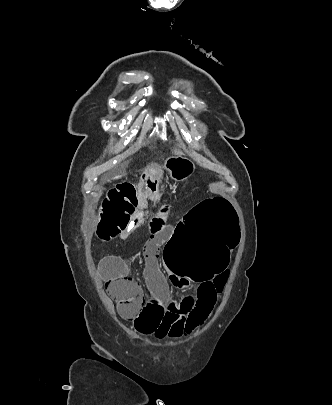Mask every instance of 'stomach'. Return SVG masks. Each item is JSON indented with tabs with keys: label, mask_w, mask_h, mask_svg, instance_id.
Instances as JSON below:
<instances>
[{
	"label": "stomach",
	"mask_w": 332,
	"mask_h": 405,
	"mask_svg": "<svg viewBox=\"0 0 332 405\" xmlns=\"http://www.w3.org/2000/svg\"><path fill=\"white\" fill-rule=\"evenodd\" d=\"M164 168L175 181L187 179L195 170L194 163L186 157L171 156L164 163Z\"/></svg>",
	"instance_id": "obj_1"
}]
</instances>
